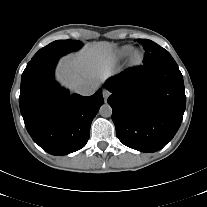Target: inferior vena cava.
<instances>
[{
  "instance_id": "inferior-vena-cava-1",
  "label": "inferior vena cava",
  "mask_w": 207,
  "mask_h": 207,
  "mask_svg": "<svg viewBox=\"0 0 207 207\" xmlns=\"http://www.w3.org/2000/svg\"><path fill=\"white\" fill-rule=\"evenodd\" d=\"M98 84L92 82H82L74 87V91L83 96H90L96 92Z\"/></svg>"
}]
</instances>
